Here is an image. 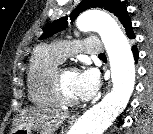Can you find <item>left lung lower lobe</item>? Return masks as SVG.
I'll use <instances>...</instances> for the list:
<instances>
[{
	"mask_svg": "<svg viewBox=\"0 0 153 134\" xmlns=\"http://www.w3.org/2000/svg\"><path fill=\"white\" fill-rule=\"evenodd\" d=\"M132 50H133V54H134L135 60L137 62V60H138V50H137L136 46H133Z\"/></svg>",
	"mask_w": 153,
	"mask_h": 134,
	"instance_id": "left-lung-lower-lobe-1",
	"label": "left lung lower lobe"
}]
</instances>
